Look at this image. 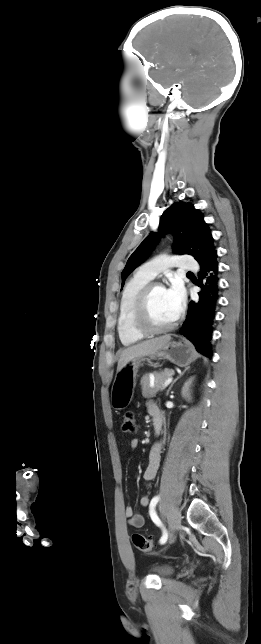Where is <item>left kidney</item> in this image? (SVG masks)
Listing matches in <instances>:
<instances>
[{
  "instance_id": "left-kidney-1",
  "label": "left kidney",
  "mask_w": 261,
  "mask_h": 644,
  "mask_svg": "<svg viewBox=\"0 0 261 644\" xmlns=\"http://www.w3.org/2000/svg\"><path fill=\"white\" fill-rule=\"evenodd\" d=\"M191 382H192V379H189V381H187V382L185 383L184 387H183L182 394H183V396H184V397H186V396L188 397V393H187V392H188V390H189V386H190Z\"/></svg>"
}]
</instances>
